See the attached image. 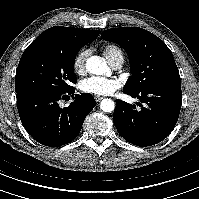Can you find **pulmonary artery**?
<instances>
[{
    "label": "pulmonary artery",
    "instance_id": "pulmonary-artery-1",
    "mask_svg": "<svg viewBox=\"0 0 199 199\" xmlns=\"http://www.w3.org/2000/svg\"><path fill=\"white\" fill-rule=\"evenodd\" d=\"M124 58H117L113 63L112 66L114 69H120L123 65Z\"/></svg>",
    "mask_w": 199,
    "mask_h": 199
}]
</instances>
